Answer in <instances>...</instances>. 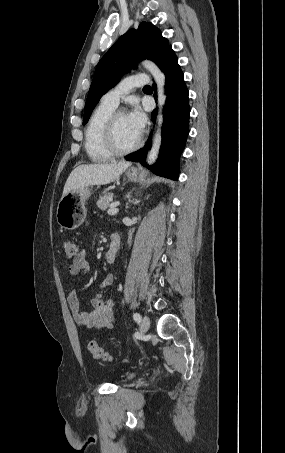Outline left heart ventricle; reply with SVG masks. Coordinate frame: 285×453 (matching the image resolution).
I'll list each match as a JSON object with an SVG mask.
<instances>
[{"label": "left heart ventricle", "instance_id": "obj_1", "mask_svg": "<svg viewBox=\"0 0 285 453\" xmlns=\"http://www.w3.org/2000/svg\"><path fill=\"white\" fill-rule=\"evenodd\" d=\"M115 131L118 145L122 148L132 146L140 137L126 114L118 117Z\"/></svg>", "mask_w": 285, "mask_h": 453}]
</instances>
